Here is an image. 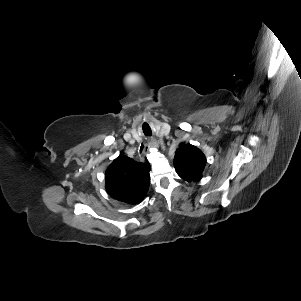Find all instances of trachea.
<instances>
[{"label":"trachea","instance_id":"trachea-1","mask_svg":"<svg viewBox=\"0 0 301 301\" xmlns=\"http://www.w3.org/2000/svg\"><path fill=\"white\" fill-rule=\"evenodd\" d=\"M149 136L151 135V132L148 134ZM145 149V146L144 145H141L140 147V153Z\"/></svg>","mask_w":301,"mask_h":301}]
</instances>
